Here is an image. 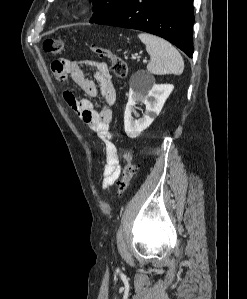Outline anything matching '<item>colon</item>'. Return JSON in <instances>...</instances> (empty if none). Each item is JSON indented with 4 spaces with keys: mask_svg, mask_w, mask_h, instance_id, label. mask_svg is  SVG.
<instances>
[{
    "mask_svg": "<svg viewBox=\"0 0 247 299\" xmlns=\"http://www.w3.org/2000/svg\"><path fill=\"white\" fill-rule=\"evenodd\" d=\"M64 43L58 38H48L43 42V48L45 52L50 54H60L63 50ZM91 50L97 56L107 58L111 63V71L118 78H125L128 74L127 62L115 54L113 51L107 48L93 45ZM123 159L125 161V166L123 168L122 177L117 182V193L122 195L131 185L133 176L136 172V165L133 162V154L130 149L124 148Z\"/></svg>",
    "mask_w": 247,
    "mask_h": 299,
    "instance_id": "colon-1",
    "label": "colon"
}]
</instances>
